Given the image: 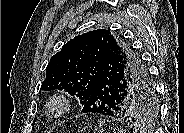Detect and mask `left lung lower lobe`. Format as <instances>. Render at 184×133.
<instances>
[{
    "label": "left lung lower lobe",
    "instance_id": "1",
    "mask_svg": "<svg viewBox=\"0 0 184 133\" xmlns=\"http://www.w3.org/2000/svg\"><path fill=\"white\" fill-rule=\"evenodd\" d=\"M100 66L101 75L98 83L81 112L98 113L130 122L131 119L126 117L125 108L131 92L126 90L127 85L121 71L122 66L119 68V65H115V61L109 57H104ZM141 88L147 95L152 92L151 87L145 84H142Z\"/></svg>",
    "mask_w": 184,
    "mask_h": 133
}]
</instances>
